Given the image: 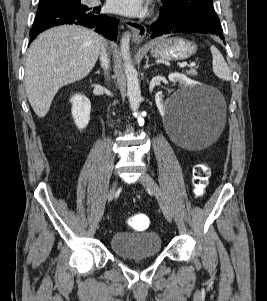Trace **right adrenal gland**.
<instances>
[{"label":"right adrenal gland","mask_w":267,"mask_h":301,"mask_svg":"<svg viewBox=\"0 0 267 301\" xmlns=\"http://www.w3.org/2000/svg\"><path fill=\"white\" fill-rule=\"evenodd\" d=\"M96 73L99 75L101 72H100V70H98Z\"/></svg>","instance_id":"right-adrenal-gland-1"}]
</instances>
